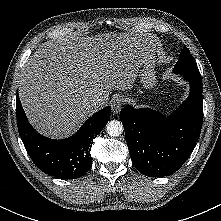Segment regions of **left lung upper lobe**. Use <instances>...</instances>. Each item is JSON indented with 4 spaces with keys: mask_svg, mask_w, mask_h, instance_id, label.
I'll use <instances>...</instances> for the list:
<instances>
[{
    "mask_svg": "<svg viewBox=\"0 0 221 221\" xmlns=\"http://www.w3.org/2000/svg\"><path fill=\"white\" fill-rule=\"evenodd\" d=\"M174 72L181 75H200L197 64L186 46H184L182 52L179 55V60L174 67Z\"/></svg>",
    "mask_w": 221,
    "mask_h": 221,
    "instance_id": "5c2ea615",
    "label": "left lung upper lobe"
}]
</instances>
